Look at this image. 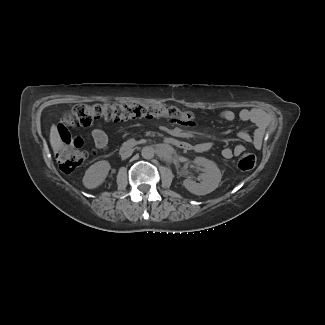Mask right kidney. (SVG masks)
Masks as SVG:
<instances>
[{
	"mask_svg": "<svg viewBox=\"0 0 325 325\" xmlns=\"http://www.w3.org/2000/svg\"><path fill=\"white\" fill-rule=\"evenodd\" d=\"M111 166L108 161H98L91 165L83 177V185L88 189L98 187L108 175Z\"/></svg>",
	"mask_w": 325,
	"mask_h": 325,
	"instance_id": "right-kidney-1",
	"label": "right kidney"
}]
</instances>
